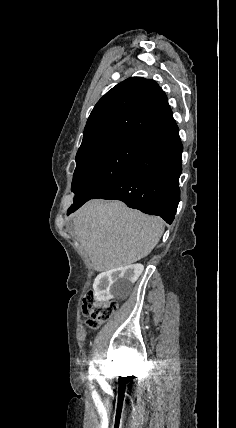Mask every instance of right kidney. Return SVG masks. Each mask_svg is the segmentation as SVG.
<instances>
[{"mask_svg": "<svg viewBox=\"0 0 236 428\" xmlns=\"http://www.w3.org/2000/svg\"><path fill=\"white\" fill-rule=\"evenodd\" d=\"M144 270L142 264H130L122 268L102 269L98 277L94 279L95 300L101 305H106L107 301H125L129 299V292L132 291V284L138 280ZM99 286V291L98 288Z\"/></svg>", "mask_w": 236, "mask_h": 428, "instance_id": "ca27d5eb", "label": "right kidney"}]
</instances>
